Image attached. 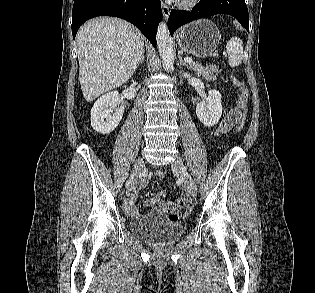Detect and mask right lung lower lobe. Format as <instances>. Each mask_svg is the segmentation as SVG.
I'll list each match as a JSON object with an SVG mask.
<instances>
[{
    "mask_svg": "<svg viewBox=\"0 0 315 293\" xmlns=\"http://www.w3.org/2000/svg\"><path fill=\"white\" fill-rule=\"evenodd\" d=\"M101 15L131 22L156 46V30L162 19L160 0H75L72 11L73 38L86 20Z\"/></svg>",
    "mask_w": 315,
    "mask_h": 293,
    "instance_id": "1",
    "label": "right lung lower lobe"
}]
</instances>
